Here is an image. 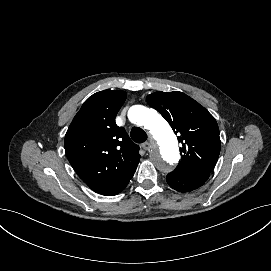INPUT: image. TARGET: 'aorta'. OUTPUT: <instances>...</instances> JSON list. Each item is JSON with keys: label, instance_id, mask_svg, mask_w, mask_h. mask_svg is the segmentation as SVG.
<instances>
[{"label": "aorta", "instance_id": "obj_1", "mask_svg": "<svg viewBox=\"0 0 271 271\" xmlns=\"http://www.w3.org/2000/svg\"><path fill=\"white\" fill-rule=\"evenodd\" d=\"M130 120L148 129L157 143L151 159L162 172H169L179 161L178 142L164 118L154 109L144 106H134L130 110Z\"/></svg>", "mask_w": 271, "mask_h": 271}]
</instances>
